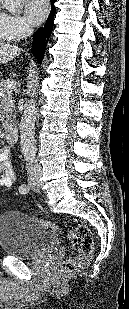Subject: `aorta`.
<instances>
[{"instance_id":"1","label":"aorta","mask_w":129,"mask_h":309,"mask_svg":"<svg viewBox=\"0 0 129 309\" xmlns=\"http://www.w3.org/2000/svg\"><path fill=\"white\" fill-rule=\"evenodd\" d=\"M24 0H4L6 9L15 14ZM36 100L31 96L24 107L20 122V144L25 157L33 158L36 155L35 146V122H36Z\"/></svg>"}]
</instances>
